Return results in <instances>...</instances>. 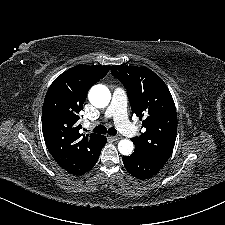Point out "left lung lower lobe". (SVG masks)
Instances as JSON below:
<instances>
[{"label":"left lung lower lobe","mask_w":225,"mask_h":225,"mask_svg":"<svg viewBox=\"0 0 225 225\" xmlns=\"http://www.w3.org/2000/svg\"><path fill=\"white\" fill-rule=\"evenodd\" d=\"M126 170L138 179H147L157 174L165 163L145 157L133 152L130 156H123Z\"/></svg>","instance_id":"obj_1"}]
</instances>
